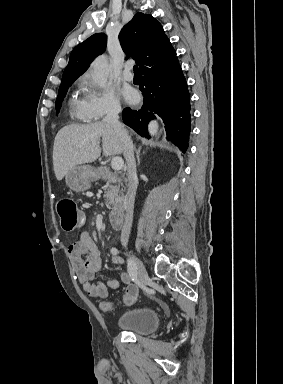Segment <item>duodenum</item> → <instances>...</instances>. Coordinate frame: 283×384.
<instances>
[{
  "label": "duodenum",
  "mask_w": 283,
  "mask_h": 384,
  "mask_svg": "<svg viewBox=\"0 0 283 384\" xmlns=\"http://www.w3.org/2000/svg\"><path fill=\"white\" fill-rule=\"evenodd\" d=\"M98 174L101 176L111 177V173L107 168H100L97 170ZM126 181V179H124ZM110 221L112 226L119 230L124 226V209L119 208L110 213Z\"/></svg>",
  "instance_id": "410a0bca"
}]
</instances>
